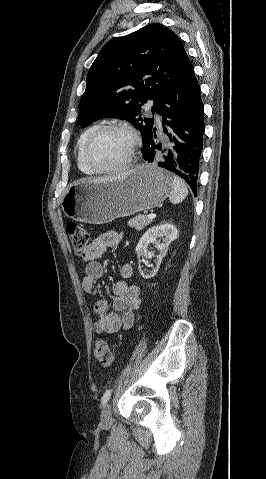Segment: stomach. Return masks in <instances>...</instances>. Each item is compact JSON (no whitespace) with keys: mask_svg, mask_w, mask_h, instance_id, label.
<instances>
[{"mask_svg":"<svg viewBox=\"0 0 266 479\" xmlns=\"http://www.w3.org/2000/svg\"><path fill=\"white\" fill-rule=\"evenodd\" d=\"M172 175L155 165H138L124 177L72 184L61 199L64 214L90 224L150 210L168 197Z\"/></svg>","mask_w":266,"mask_h":479,"instance_id":"obj_1","label":"stomach"}]
</instances>
